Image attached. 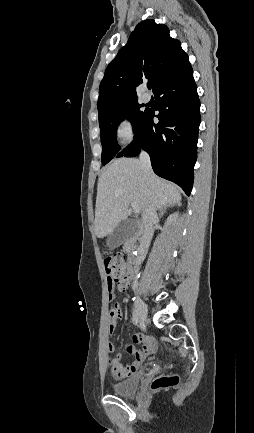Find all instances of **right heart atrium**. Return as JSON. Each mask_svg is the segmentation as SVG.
<instances>
[{
  "mask_svg": "<svg viewBox=\"0 0 254 433\" xmlns=\"http://www.w3.org/2000/svg\"><path fill=\"white\" fill-rule=\"evenodd\" d=\"M115 135L122 146L130 145L136 136L134 121L128 116L121 117L116 124Z\"/></svg>",
  "mask_w": 254,
  "mask_h": 433,
  "instance_id": "obj_1",
  "label": "right heart atrium"
}]
</instances>
